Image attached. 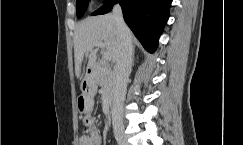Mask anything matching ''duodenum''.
Wrapping results in <instances>:
<instances>
[{
	"instance_id": "1",
	"label": "duodenum",
	"mask_w": 243,
	"mask_h": 145,
	"mask_svg": "<svg viewBox=\"0 0 243 145\" xmlns=\"http://www.w3.org/2000/svg\"><path fill=\"white\" fill-rule=\"evenodd\" d=\"M97 73H98V67L92 66V67L89 68V70H88V81H89V83H94ZM114 102L115 101H114L113 97L108 98L107 104H108V107H109L110 110L113 109Z\"/></svg>"
}]
</instances>
